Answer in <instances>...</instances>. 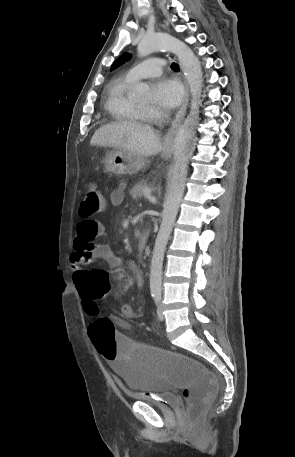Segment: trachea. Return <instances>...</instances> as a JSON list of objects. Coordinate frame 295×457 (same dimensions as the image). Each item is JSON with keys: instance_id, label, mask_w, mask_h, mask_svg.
I'll return each mask as SVG.
<instances>
[{"instance_id": "trachea-1", "label": "trachea", "mask_w": 295, "mask_h": 457, "mask_svg": "<svg viewBox=\"0 0 295 457\" xmlns=\"http://www.w3.org/2000/svg\"><path fill=\"white\" fill-rule=\"evenodd\" d=\"M171 68H172L173 70H178V64H177V63H172V64H171Z\"/></svg>"}]
</instances>
